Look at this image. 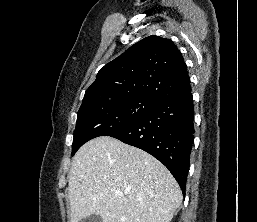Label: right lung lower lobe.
I'll return each instance as SVG.
<instances>
[{"instance_id": "1", "label": "right lung lower lobe", "mask_w": 257, "mask_h": 222, "mask_svg": "<svg viewBox=\"0 0 257 222\" xmlns=\"http://www.w3.org/2000/svg\"><path fill=\"white\" fill-rule=\"evenodd\" d=\"M193 109L190 89L159 102L140 120L110 136L157 158L169 169L185 195L194 141Z\"/></svg>"}]
</instances>
